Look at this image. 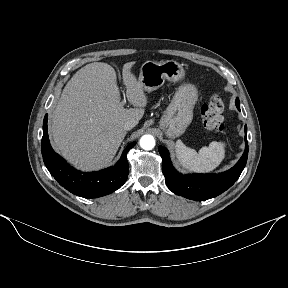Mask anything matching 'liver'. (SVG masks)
<instances>
[{
	"instance_id": "liver-1",
	"label": "liver",
	"mask_w": 288,
	"mask_h": 288,
	"mask_svg": "<svg viewBox=\"0 0 288 288\" xmlns=\"http://www.w3.org/2000/svg\"><path fill=\"white\" fill-rule=\"evenodd\" d=\"M134 64L125 63L122 70L127 99L134 108L121 105L116 71L107 63L87 64L64 87L49 131L55 147L73 166L89 171L108 165L126 136L125 122L138 123L143 117L147 97L130 72Z\"/></svg>"
}]
</instances>
